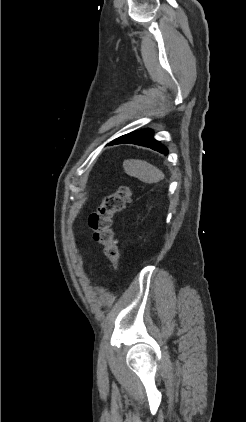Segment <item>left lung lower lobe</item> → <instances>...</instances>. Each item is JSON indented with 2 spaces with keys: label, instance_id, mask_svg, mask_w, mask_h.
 <instances>
[{
  "label": "left lung lower lobe",
  "instance_id": "left-lung-lower-lobe-1",
  "mask_svg": "<svg viewBox=\"0 0 246 422\" xmlns=\"http://www.w3.org/2000/svg\"><path fill=\"white\" fill-rule=\"evenodd\" d=\"M123 143L145 146L155 151H158L162 154H168V149L164 145H162L159 141L153 138V131L151 129H143V130L128 133L126 135H123L113 140L108 145L123 144Z\"/></svg>",
  "mask_w": 246,
  "mask_h": 422
}]
</instances>
